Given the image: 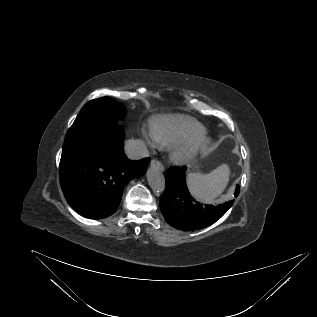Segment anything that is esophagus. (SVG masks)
<instances>
[{
	"label": "esophagus",
	"mask_w": 317,
	"mask_h": 317,
	"mask_svg": "<svg viewBox=\"0 0 317 317\" xmlns=\"http://www.w3.org/2000/svg\"><path fill=\"white\" fill-rule=\"evenodd\" d=\"M150 166L158 169L161 172L164 170L163 164L160 161H158L157 159H153L150 163Z\"/></svg>",
	"instance_id": "esophagus-1"
}]
</instances>
